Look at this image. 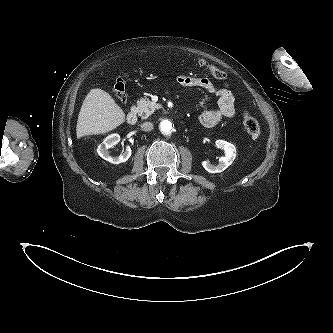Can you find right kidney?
I'll return each instance as SVG.
<instances>
[{"mask_svg": "<svg viewBox=\"0 0 333 333\" xmlns=\"http://www.w3.org/2000/svg\"><path fill=\"white\" fill-rule=\"evenodd\" d=\"M120 141V136L118 134H111L108 135L103 143H101L98 148H97V153L99 154V156L101 158H103L104 160L113 163V164H119L122 162H126L132 152H131V148L129 146L126 147L125 151L123 153H121L118 157H112L110 156L108 149L112 148L113 146H115L116 144H118Z\"/></svg>", "mask_w": 333, "mask_h": 333, "instance_id": "1", "label": "right kidney"}]
</instances>
